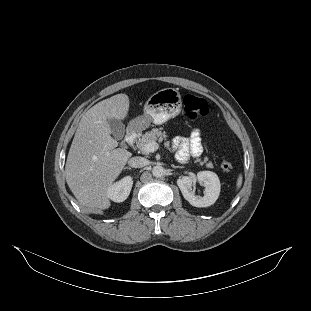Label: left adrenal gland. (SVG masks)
I'll return each mask as SVG.
<instances>
[{"instance_id": "a2214340", "label": "left adrenal gland", "mask_w": 311, "mask_h": 311, "mask_svg": "<svg viewBox=\"0 0 311 311\" xmlns=\"http://www.w3.org/2000/svg\"><path fill=\"white\" fill-rule=\"evenodd\" d=\"M171 167H172L173 169L184 168V166H175V165H171Z\"/></svg>"}]
</instances>
